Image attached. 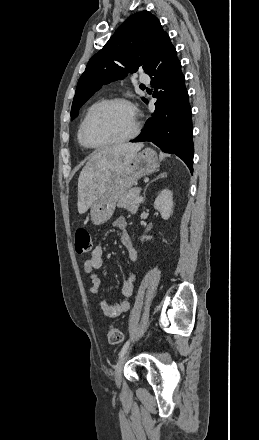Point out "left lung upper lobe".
Wrapping results in <instances>:
<instances>
[{
	"mask_svg": "<svg viewBox=\"0 0 259 440\" xmlns=\"http://www.w3.org/2000/svg\"><path fill=\"white\" fill-rule=\"evenodd\" d=\"M167 36L159 20L150 12L131 15L88 62L77 84L71 109L72 119L103 85L139 69L146 73Z\"/></svg>",
	"mask_w": 259,
	"mask_h": 440,
	"instance_id": "1",
	"label": "left lung upper lobe"
}]
</instances>
